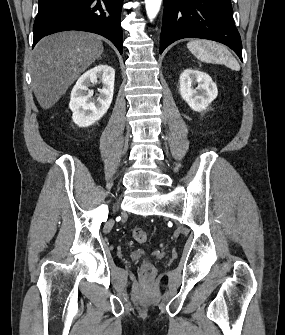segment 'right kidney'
I'll use <instances>...</instances> for the list:
<instances>
[{
    "label": "right kidney",
    "instance_id": "ca27d5eb",
    "mask_svg": "<svg viewBox=\"0 0 285 335\" xmlns=\"http://www.w3.org/2000/svg\"><path fill=\"white\" fill-rule=\"evenodd\" d=\"M115 70L107 64H99L92 70L85 72L79 80H77L72 92L69 108L72 114V120L80 126L87 128L98 122L107 110L113 100ZM102 82L103 88L97 100L92 98V90H89L91 84Z\"/></svg>",
    "mask_w": 285,
    "mask_h": 335
}]
</instances>
